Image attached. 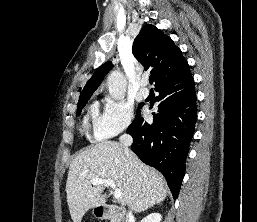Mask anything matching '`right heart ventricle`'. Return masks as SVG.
Instances as JSON below:
<instances>
[{
    "mask_svg": "<svg viewBox=\"0 0 257 222\" xmlns=\"http://www.w3.org/2000/svg\"><path fill=\"white\" fill-rule=\"evenodd\" d=\"M92 116L94 119H97V115H98V107H97V104H92L90 106V109H89V113L86 115L85 119H84V122L85 124L87 125L88 124V119H89V116Z\"/></svg>",
    "mask_w": 257,
    "mask_h": 222,
    "instance_id": "1",
    "label": "right heart ventricle"
}]
</instances>
